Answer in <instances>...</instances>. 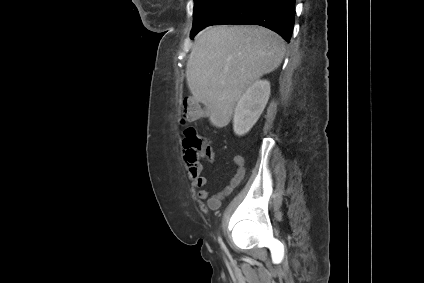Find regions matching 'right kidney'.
I'll use <instances>...</instances> for the list:
<instances>
[{
  "mask_svg": "<svg viewBox=\"0 0 424 283\" xmlns=\"http://www.w3.org/2000/svg\"><path fill=\"white\" fill-rule=\"evenodd\" d=\"M270 96L267 80L255 81L237 102L233 117L234 133L242 136L248 133L258 121Z\"/></svg>",
  "mask_w": 424,
  "mask_h": 283,
  "instance_id": "obj_1",
  "label": "right kidney"
}]
</instances>
